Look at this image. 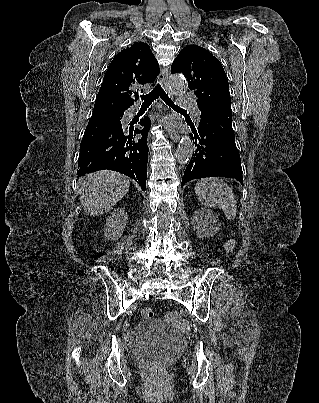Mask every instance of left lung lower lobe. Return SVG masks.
<instances>
[{
  "mask_svg": "<svg viewBox=\"0 0 319 403\" xmlns=\"http://www.w3.org/2000/svg\"><path fill=\"white\" fill-rule=\"evenodd\" d=\"M195 151L182 179L186 182L210 176L234 178L243 184L241 160L232 128V110L215 107L200 110Z\"/></svg>",
  "mask_w": 319,
  "mask_h": 403,
  "instance_id": "left-lung-lower-lobe-1",
  "label": "left lung lower lobe"
}]
</instances>
